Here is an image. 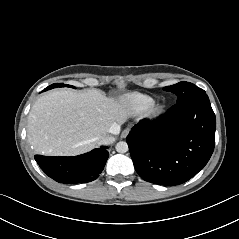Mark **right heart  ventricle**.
Returning <instances> with one entry per match:
<instances>
[{
	"label": "right heart ventricle",
	"instance_id": "e07e8e85",
	"mask_svg": "<svg viewBox=\"0 0 239 239\" xmlns=\"http://www.w3.org/2000/svg\"><path fill=\"white\" fill-rule=\"evenodd\" d=\"M124 100L130 109L138 113L146 111L154 102L153 97H151L150 95L138 92L126 95Z\"/></svg>",
	"mask_w": 239,
	"mask_h": 239
}]
</instances>
